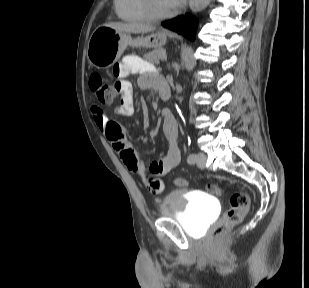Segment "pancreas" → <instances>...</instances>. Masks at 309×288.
Returning a JSON list of instances; mask_svg holds the SVG:
<instances>
[{
  "instance_id": "obj_1",
  "label": "pancreas",
  "mask_w": 309,
  "mask_h": 288,
  "mask_svg": "<svg viewBox=\"0 0 309 288\" xmlns=\"http://www.w3.org/2000/svg\"><path fill=\"white\" fill-rule=\"evenodd\" d=\"M164 54H165L164 49H156V50H153L152 52L146 53L143 56V58L150 63L159 64V61L163 57Z\"/></svg>"
}]
</instances>
